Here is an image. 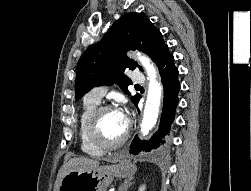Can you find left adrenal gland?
<instances>
[{
  "label": "left adrenal gland",
  "instance_id": "obj_1",
  "mask_svg": "<svg viewBox=\"0 0 251 191\" xmlns=\"http://www.w3.org/2000/svg\"><path fill=\"white\" fill-rule=\"evenodd\" d=\"M132 183H134V181H132V179H125V181H123V183H121V185L119 187V191H127L128 187H130V185H132Z\"/></svg>",
  "mask_w": 251,
  "mask_h": 191
}]
</instances>
